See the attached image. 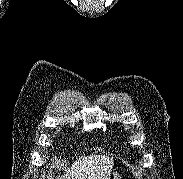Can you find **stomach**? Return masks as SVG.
<instances>
[{
  "mask_svg": "<svg viewBox=\"0 0 183 179\" xmlns=\"http://www.w3.org/2000/svg\"><path fill=\"white\" fill-rule=\"evenodd\" d=\"M108 179H121V177L117 172L113 171Z\"/></svg>",
  "mask_w": 183,
  "mask_h": 179,
  "instance_id": "stomach-1",
  "label": "stomach"
}]
</instances>
